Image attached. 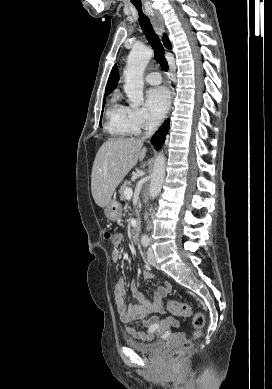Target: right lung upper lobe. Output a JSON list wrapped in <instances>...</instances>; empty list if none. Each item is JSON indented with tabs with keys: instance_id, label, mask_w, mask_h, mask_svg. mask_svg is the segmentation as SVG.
Here are the masks:
<instances>
[{
	"instance_id": "obj_1",
	"label": "right lung upper lobe",
	"mask_w": 272,
	"mask_h": 389,
	"mask_svg": "<svg viewBox=\"0 0 272 389\" xmlns=\"http://www.w3.org/2000/svg\"><path fill=\"white\" fill-rule=\"evenodd\" d=\"M163 39H164L163 42H164L165 46L168 49H170L171 48V43L169 42L167 36L165 35ZM118 81H119V72H118L117 65H114L113 68H112V71L110 73L107 85H106V92H105V94H109L112 91H114Z\"/></svg>"
}]
</instances>
